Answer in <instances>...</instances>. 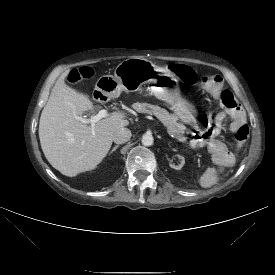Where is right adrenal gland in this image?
Listing matches in <instances>:
<instances>
[{
    "instance_id": "1",
    "label": "right adrenal gland",
    "mask_w": 275,
    "mask_h": 275,
    "mask_svg": "<svg viewBox=\"0 0 275 275\" xmlns=\"http://www.w3.org/2000/svg\"><path fill=\"white\" fill-rule=\"evenodd\" d=\"M119 148V145H116L115 147L112 148L110 151L109 155H111L114 151H116Z\"/></svg>"
}]
</instances>
